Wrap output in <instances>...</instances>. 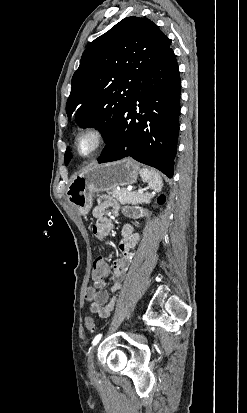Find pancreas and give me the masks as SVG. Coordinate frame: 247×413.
I'll return each mask as SVG.
<instances>
[{
  "label": "pancreas",
  "instance_id": "obj_1",
  "mask_svg": "<svg viewBox=\"0 0 247 413\" xmlns=\"http://www.w3.org/2000/svg\"><path fill=\"white\" fill-rule=\"evenodd\" d=\"M113 198L119 200L121 204H141V202H150L153 194L150 192H128V190H111L108 192Z\"/></svg>",
  "mask_w": 247,
  "mask_h": 413
}]
</instances>
